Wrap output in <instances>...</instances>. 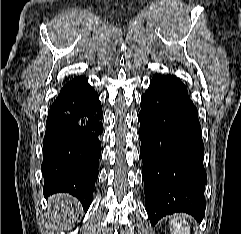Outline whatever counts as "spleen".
<instances>
[{
	"instance_id": "obj_1",
	"label": "spleen",
	"mask_w": 241,
	"mask_h": 234,
	"mask_svg": "<svg viewBox=\"0 0 241 234\" xmlns=\"http://www.w3.org/2000/svg\"><path fill=\"white\" fill-rule=\"evenodd\" d=\"M171 234H190V226L183 215H174L170 221Z\"/></svg>"
}]
</instances>
